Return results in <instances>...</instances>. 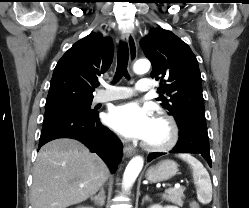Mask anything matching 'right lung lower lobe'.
I'll return each instance as SVG.
<instances>
[{"label":"right lung lower lobe","mask_w":249,"mask_h":208,"mask_svg":"<svg viewBox=\"0 0 249 208\" xmlns=\"http://www.w3.org/2000/svg\"><path fill=\"white\" fill-rule=\"evenodd\" d=\"M99 114L49 109L45 111L39 147L57 138H73L97 153L115 172L123 156L122 143L99 121Z\"/></svg>","instance_id":"98d812e1"}]
</instances>
